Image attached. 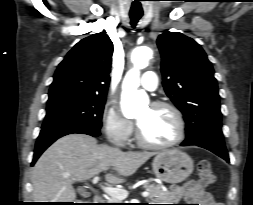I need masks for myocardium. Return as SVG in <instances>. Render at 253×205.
<instances>
[{
    "mask_svg": "<svg viewBox=\"0 0 253 205\" xmlns=\"http://www.w3.org/2000/svg\"><path fill=\"white\" fill-rule=\"evenodd\" d=\"M150 106L152 108H165V109L170 110L173 113L176 123H177V134H176V137L170 142L163 143V144L151 143L142 136L138 125H136L135 138L138 144L148 149L162 150V149H168V148L174 147L178 145L179 143H181L185 137L186 124H185V120L180 109L171 102L161 101V100L152 102Z\"/></svg>",
    "mask_w": 253,
    "mask_h": 205,
    "instance_id": "1",
    "label": "myocardium"
}]
</instances>
